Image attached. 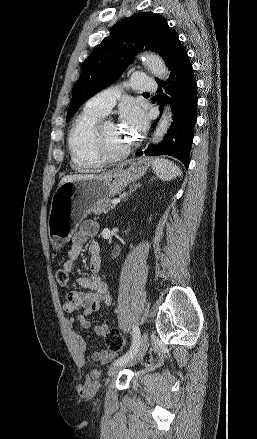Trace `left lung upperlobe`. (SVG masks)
Wrapping results in <instances>:
<instances>
[{"mask_svg":"<svg viewBox=\"0 0 257 439\" xmlns=\"http://www.w3.org/2000/svg\"><path fill=\"white\" fill-rule=\"evenodd\" d=\"M177 38L165 19L152 12L138 13L118 22L110 36L104 38L85 60L74 86L66 121L86 100L115 82L138 52L155 51L166 63Z\"/></svg>","mask_w":257,"mask_h":439,"instance_id":"1","label":"left lung upper lobe"}]
</instances>
